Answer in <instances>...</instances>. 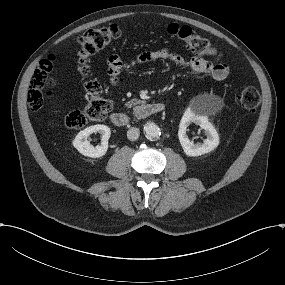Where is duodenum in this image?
Listing matches in <instances>:
<instances>
[{
    "label": "duodenum",
    "instance_id": "1",
    "mask_svg": "<svg viewBox=\"0 0 285 285\" xmlns=\"http://www.w3.org/2000/svg\"><path fill=\"white\" fill-rule=\"evenodd\" d=\"M167 109V105L161 102H148L143 104L136 111V117L138 119H144L150 115L164 112ZM112 123L120 128L127 127L129 125V117L124 112H113L110 115Z\"/></svg>",
    "mask_w": 285,
    "mask_h": 285
}]
</instances>
